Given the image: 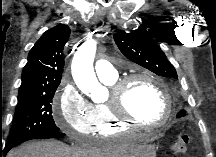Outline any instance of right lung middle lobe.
<instances>
[{
    "label": "right lung middle lobe",
    "mask_w": 216,
    "mask_h": 157,
    "mask_svg": "<svg viewBox=\"0 0 216 157\" xmlns=\"http://www.w3.org/2000/svg\"><path fill=\"white\" fill-rule=\"evenodd\" d=\"M56 89L31 92L18 97L5 146H15L40 135L59 132L52 116L51 105Z\"/></svg>",
    "instance_id": "obj_1"
}]
</instances>
